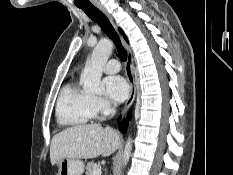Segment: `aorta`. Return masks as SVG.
Here are the masks:
<instances>
[{
    "mask_svg": "<svg viewBox=\"0 0 233 175\" xmlns=\"http://www.w3.org/2000/svg\"><path fill=\"white\" fill-rule=\"evenodd\" d=\"M113 45L108 40L100 41L94 48L90 60L86 62L85 68L81 74L83 89L87 93H97L99 91L100 80L109 56L111 55ZM132 140L129 137L124 148L123 165L126 166L131 156Z\"/></svg>",
    "mask_w": 233,
    "mask_h": 175,
    "instance_id": "aorta-1",
    "label": "aorta"
}]
</instances>
